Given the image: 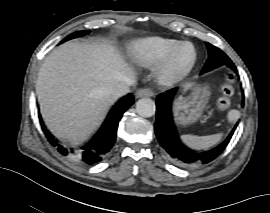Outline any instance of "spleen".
Listing matches in <instances>:
<instances>
[{"label":"spleen","instance_id":"spleen-1","mask_svg":"<svg viewBox=\"0 0 270 213\" xmlns=\"http://www.w3.org/2000/svg\"><path fill=\"white\" fill-rule=\"evenodd\" d=\"M222 137V133L208 135V136H195V135H182L183 142L194 149H207L216 144Z\"/></svg>","mask_w":270,"mask_h":213}]
</instances>
